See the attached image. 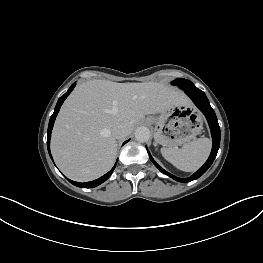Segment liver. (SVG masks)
I'll list each match as a JSON object with an SVG mask.
<instances>
[{"label":"liver","instance_id":"1","mask_svg":"<svg viewBox=\"0 0 263 263\" xmlns=\"http://www.w3.org/2000/svg\"><path fill=\"white\" fill-rule=\"evenodd\" d=\"M185 95L156 83L93 80L78 85L64 102L54 124L51 151L68 178L86 182L113 165L117 141L112 128L122 123L128 135L145 115L186 103Z\"/></svg>","mask_w":263,"mask_h":263}]
</instances>
